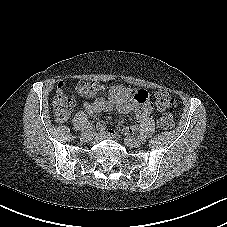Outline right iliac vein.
I'll return each instance as SVG.
<instances>
[{
  "label": "right iliac vein",
  "mask_w": 227,
  "mask_h": 227,
  "mask_svg": "<svg viewBox=\"0 0 227 227\" xmlns=\"http://www.w3.org/2000/svg\"><path fill=\"white\" fill-rule=\"evenodd\" d=\"M95 135L94 130H91L90 128H87L85 131L81 134V139L83 140H92Z\"/></svg>",
  "instance_id": "obj_1"
}]
</instances>
